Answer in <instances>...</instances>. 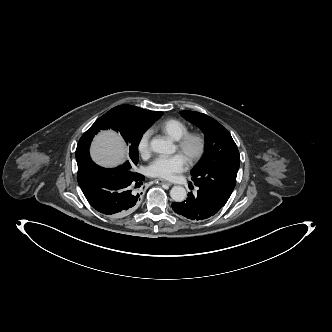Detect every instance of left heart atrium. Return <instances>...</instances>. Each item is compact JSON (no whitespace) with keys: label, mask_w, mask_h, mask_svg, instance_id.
I'll return each instance as SVG.
<instances>
[{"label":"left heart atrium","mask_w":332,"mask_h":332,"mask_svg":"<svg viewBox=\"0 0 332 332\" xmlns=\"http://www.w3.org/2000/svg\"><path fill=\"white\" fill-rule=\"evenodd\" d=\"M186 160L180 155L159 156L147 168L149 176L159 179H173L177 173L184 171Z\"/></svg>","instance_id":"left-heart-atrium-1"}]
</instances>
